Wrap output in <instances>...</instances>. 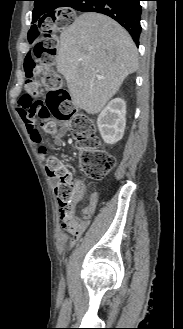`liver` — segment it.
Wrapping results in <instances>:
<instances>
[{"label":"liver","mask_w":183,"mask_h":329,"mask_svg":"<svg viewBox=\"0 0 183 329\" xmlns=\"http://www.w3.org/2000/svg\"><path fill=\"white\" fill-rule=\"evenodd\" d=\"M137 68L131 36L105 15L84 13L60 34L57 71L64 75L73 103L89 114L99 113Z\"/></svg>","instance_id":"obj_1"}]
</instances>
